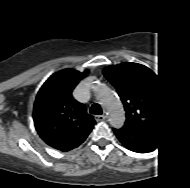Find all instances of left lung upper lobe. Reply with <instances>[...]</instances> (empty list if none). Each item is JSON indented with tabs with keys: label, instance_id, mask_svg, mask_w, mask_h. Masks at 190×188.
<instances>
[{
	"label": "left lung upper lobe",
	"instance_id": "obj_1",
	"mask_svg": "<svg viewBox=\"0 0 190 188\" xmlns=\"http://www.w3.org/2000/svg\"><path fill=\"white\" fill-rule=\"evenodd\" d=\"M103 74L116 88L124 104L125 124L151 131H168L171 128V94L149 68L127 62L109 66Z\"/></svg>",
	"mask_w": 190,
	"mask_h": 188
}]
</instances>
